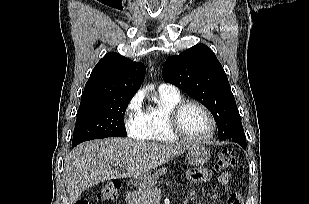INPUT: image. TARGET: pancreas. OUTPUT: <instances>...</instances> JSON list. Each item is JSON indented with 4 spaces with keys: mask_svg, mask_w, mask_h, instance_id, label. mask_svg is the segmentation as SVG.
I'll return each instance as SVG.
<instances>
[{
    "mask_svg": "<svg viewBox=\"0 0 309 204\" xmlns=\"http://www.w3.org/2000/svg\"><path fill=\"white\" fill-rule=\"evenodd\" d=\"M167 173V168L163 167L158 169L152 176H150L145 182H143L139 188V191L134 192V196L139 204H152L153 191L155 185L160 176Z\"/></svg>",
    "mask_w": 309,
    "mask_h": 204,
    "instance_id": "1",
    "label": "pancreas"
}]
</instances>
